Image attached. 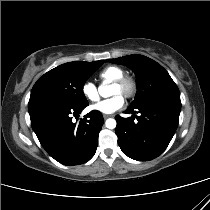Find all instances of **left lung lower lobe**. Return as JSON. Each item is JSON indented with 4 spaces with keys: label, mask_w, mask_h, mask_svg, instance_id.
Instances as JSON below:
<instances>
[{
    "label": "left lung lower lobe",
    "mask_w": 210,
    "mask_h": 210,
    "mask_svg": "<svg viewBox=\"0 0 210 210\" xmlns=\"http://www.w3.org/2000/svg\"><path fill=\"white\" fill-rule=\"evenodd\" d=\"M180 110L179 97H161L129 107L124 112H137L140 116L123 118L117 115L116 134L122 152L138 161L158 157L167 148L177 129Z\"/></svg>",
    "instance_id": "1"
}]
</instances>
